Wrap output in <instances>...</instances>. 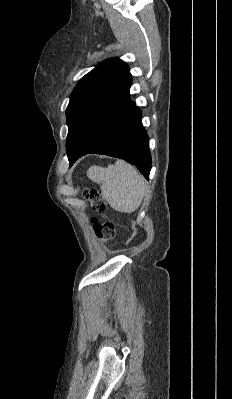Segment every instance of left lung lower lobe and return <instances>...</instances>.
Listing matches in <instances>:
<instances>
[{"label":"left lung lower lobe","mask_w":232,"mask_h":399,"mask_svg":"<svg viewBox=\"0 0 232 399\" xmlns=\"http://www.w3.org/2000/svg\"><path fill=\"white\" fill-rule=\"evenodd\" d=\"M141 118L142 113L134 104L122 122L102 142L84 155L95 153L124 159L135 165L141 174L149 179L152 163L149 137Z\"/></svg>","instance_id":"left-lung-lower-lobe-1"}]
</instances>
